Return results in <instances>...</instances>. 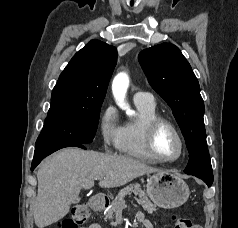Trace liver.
Returning a JSON list of instances; mask_svg holds the SVG:
<instances>
[{"label":"liver","mask_w":238,"mask_h":228,"mask_svg":"<svg viewBox=\"0 0 238 228\" xmlns=\"http://www.w3.org/2000/svg\"><path fill=\"white\" fill-rule=\"evenodd\" d=\"M161 172L140 161L77 148L63 149L45 159L38 170V193L33 207L38 228L68 214L81 189H90L96 178L100 187L123 186L142 175Z\"/></svg>","instance_id":"obj_1"}]
</instances>
